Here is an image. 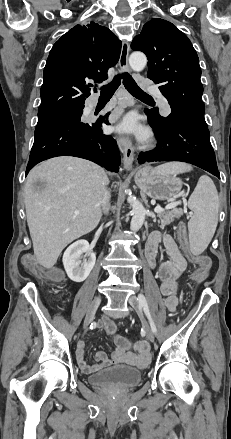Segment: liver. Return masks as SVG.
<instances>
[{"label": "liver", "mask_w": 231, "mask_h": 439, "mask_svg": "<svg viewBox=\"0 0 231 439\" xmlns=\"http://www.w3.org/2000/svg\"><path fill=\"white\" fill-rule=\"evenodd\" d=\"M106 179L97 164L71 156L48 159L30 171L24 189L27 223L44 268L51 269L69 243L97 227ZM37 181L44 187L38 189Z\"/></svg>", "instance_id": "1"}]
</instances>
